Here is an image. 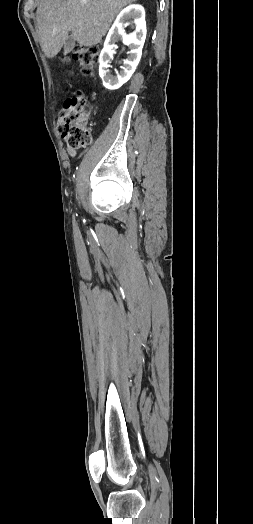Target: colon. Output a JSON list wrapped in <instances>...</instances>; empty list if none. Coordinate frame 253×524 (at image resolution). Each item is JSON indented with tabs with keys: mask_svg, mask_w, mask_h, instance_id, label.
I'll use <instances>...</instances> for the list:
<instances>
[{
	"mask_svg": "<svg viewBox=\"0 0 253 524\" xmlns=\"http://www.w3.org/2000/svg\"><path fill=\"white\" fill-rule=\"evenodd\" d=\"M100 55L97 46H78L73 56L84 75H91ZM65 62H70L66 58ZM88 105L81 90H73L64 100L58 117L57 130L72 149L87 147L92 143V135L87 126Z\"/></svg>",
	"mask_w": 253,
	"mask_h": 524,
	"instance_id": "obj_1",
	"label": "colon"
}]
</instances>
